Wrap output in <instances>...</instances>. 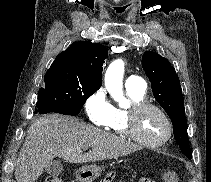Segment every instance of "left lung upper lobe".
Returning <instances> with one entry per match:
<instances>
[{"instance_id": "left-lung-upper-lobe-1", "label": "left lung upper lobe", "mask_w": 211, "mask_h": 182, "mask_svg": "<svg viewBox=\"0 0 211 182\" xmlns=\"http://www.w3.org/2000/svg\"><path fill=\"white\" fill-rule=\"evenodd\" d=\"M142 67L152 84V92L173 124L174 138L181 151L192 158L186 129L184 99L178 75L170 62L159 54L147 51L142 56Z\"/></svg>"}]
</instances>
